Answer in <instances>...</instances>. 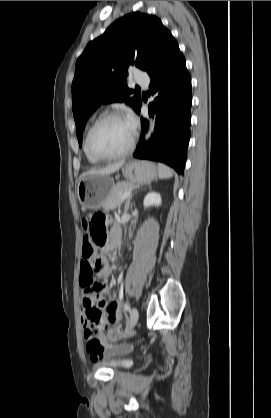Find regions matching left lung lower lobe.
Segmentation results:
<instances>
[{
	"label": "left lung lower lobe",
	"mask_w": 271,
	"mask_h": 418,
	"mask_svg": "<svg viewBox=\"0 0 271 418\" xmlns=\"http://www.w3.org/2000/svg\"><path fill=\"white\" fill-rule=\"evenodd\" d=\"M148 74L150 94L155 95L150 109L156 112V126L152 138L144 142L148 121L141 119L143 135L134 157L163 162L183 175L190 140L191 77L173 36Z\"/></svg>",
	"instance_id": "obj_1"
}]
</instances>
